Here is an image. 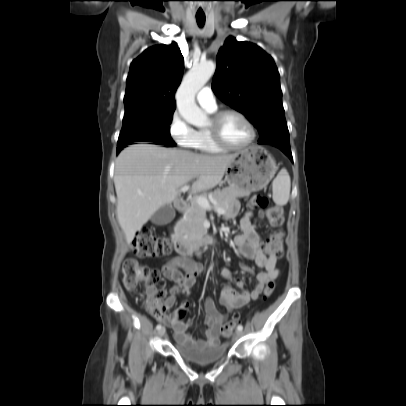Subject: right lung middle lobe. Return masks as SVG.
Listing matches in <instances>:
<instances>
[{
	"mask_svg": "<svg viewBox=\"0 0 406 406\" xmlns=\"http://www.w3.org/2000/svg\"><path fill=\"white\" fill-rule=\"evenodd\" d=\"M174 110L145 107L125 109L117 150L134 142L174 146L175 142L170 137L169 128Z\"/></svg>",
	"mask_w": 406,
	"mask_h": 406,
	"instance_id": "obj_1",
	"label": "right lung middle lobe"
}]
</instances>
